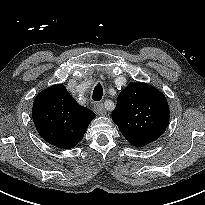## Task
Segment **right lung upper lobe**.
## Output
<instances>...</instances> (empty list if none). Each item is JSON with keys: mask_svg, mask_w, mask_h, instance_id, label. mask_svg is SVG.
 <instances>
[{"mask_svg": "<svg viewBox=\"0 0 205 205\" xmlns=\"http://www.w3.org/2000/svg\"><path fill=\"white\" fill-rule=\"evenodd\" d=\"M32 117L40 136L46 142L70 149L82 140L96 115L79 105L65 86L54 85L37 95Z\"/></svg>", "mask_w": 205, "mask_h": 205, "instance_id": "right-lung-upper-lobe-1", "label": "right lung upper lobe"}]
</instances>
